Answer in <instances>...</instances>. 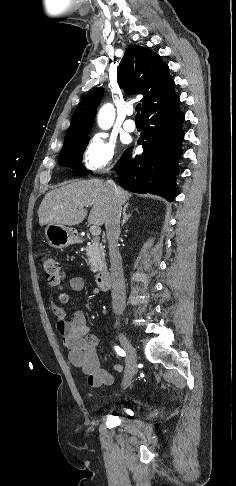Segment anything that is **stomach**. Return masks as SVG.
I'll use <instances>...</instances> for the list:
<instances>
[{
    "label": "stomach",
    "instance_id": "stomach-1",
    "mask_svg": "<svg viewBox=\"0 0 236 486\" xmlns=\"http://www.w3.org/2000/svg\"><path fill=\"white\" fill-rule=\"evenodd\" d=\"M45 235L50 246L56 249H63L78 241L73 228L50 223L45 228Z\"/></svg>",
    "mask_w": 236,
    "mask_h": 486
}]
</instances>
